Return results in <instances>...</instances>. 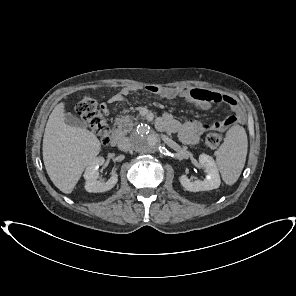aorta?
Masks as SVG:
<instances>
[{
    "label": "aorta",
    "mask_w": 296,
    "mask_h": 296,
    "mask_svg": "<svg viewBox=\"0 0 296 296\" xmlns=\"http://www.w3.org/2000/svg\"><path fill=\"white\" fill-rule=\"evenodd\" d=\"M133 149L141 154H151L158 150V135L147 125L139 126L131 135Z\"/></svg>",
    "instance_id": "obj_1"
}]
</instances>
